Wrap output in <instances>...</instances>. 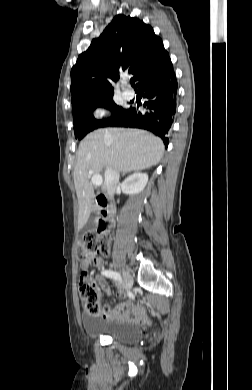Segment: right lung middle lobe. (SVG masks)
<instances>
[{
  "label": "right lung middle lobe",
  "mask_w": 252,
  "mask_h": 390,
  "mask_svg": "<svg viewBox=\"0 0 252 390\" xmlns=\"http://www.w3.org/2000/svg\"><path fill=\"white\" fill-rule=\"evenodd\" d=\"M97 107H103L110 110L113 112V116L105 120L95 119L93 111ZM126 111L127 109H124L114 103L113 95L88 102L72 109L75 138L82 139L87 133L93 131L94 129L106 127L109 123L124 114Z\"/></svg>",
  "instance_id": "right-lung-middle-lobe-1"
}]
</instances>
